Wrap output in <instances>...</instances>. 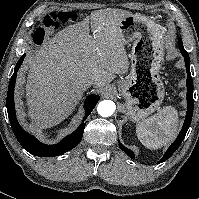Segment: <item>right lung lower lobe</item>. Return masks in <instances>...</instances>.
I'll use <instances>...</instances> for the list:
<instances>
[{
    "mask_svg": "<svg viewBox=\"0 0 199 199\" xmlns=\"http://www.w3.org/2000/svg\"><path fill=\"white\" fill-rule=\"evenodd\" d=\"M24 58L25 54L22 55L20 60L17 62L8 87L6 106L11 127L19 143L30 154L39 157H54L61 155L65 152L70 151L80 143L86 125L84 121L89 116L91 111L95 108L96 103L99 101L100 97L98 95H89L86 98L84 103L85 117L83 119V122L73 133L66 136L59 143L54 145H46L39 142L34 136L23 130L16 119L14 107V86L16 81V73L20 68Z\"/></svg>",
    "mask_w": 199,
    "mask_h": 199,
    "instance_id": "1",
    "label": "right lung lower lobe"
}]
</instances>
